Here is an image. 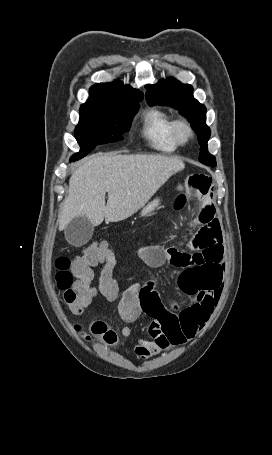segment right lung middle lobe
Instances as JSON below:
<instances>
[{
	"mask_svg": "<svg viewBox=\"0 0 272 455\" xmlns=\"http://www.w3.org/2000/svg\"><path fill=\"white\" fill-rule=\"evenodd\" d=\"M139 101L114 110L80 109L75 138L81 150L70 160L83 158L99 144L123 140L121 134L129 131L132 118L139 109Z\"/></svg>",
	"mask_w": 272,
	"mask_h": 455,
	"instance_id": "obj_1",
	"label": "right lung middle lobe"
}]
</instances>
